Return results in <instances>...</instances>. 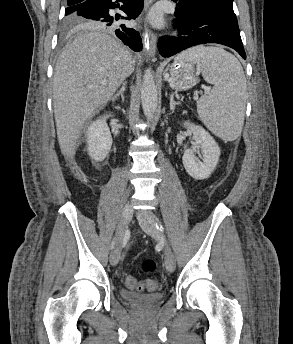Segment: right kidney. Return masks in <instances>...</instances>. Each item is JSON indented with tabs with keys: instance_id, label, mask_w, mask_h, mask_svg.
I'll list each match as a JSON object with an SVG mask.
<instances>
[{
	"instance_id": "1",
	"label": "right kidney",
	"mask_w": 293,
	"mask_h": 344,
	"mask_svg": "<svg viewBox=\"0 0 293 344\" xmlns=\"http://www.w3.org/2000/svg\"><path fill=\"white\" fill-rule=\"evenodd\" d=\"M111 115H104L93 121L87 129V152L96 162L103 161L109 154L112 146V136L106 123Z\"/></svg>"
}]
</instances>
